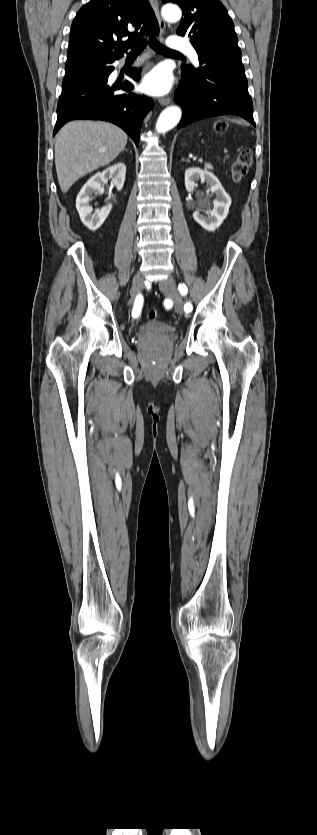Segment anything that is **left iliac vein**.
<instances>
[{
  "instance_id": "obj_1",
  "label": "left iliac vein",
  "mask_w": 317,
  "mask_h": 835,
  "mask_svg": "<svg viewBox=\"0 0 317 835\" xmlns=\"http://www.w3.org/2000/svg\"><path fill=\"white\" fill-rule=\"evenodd\" d=\"M159 287L163 293H165L173 300L176 312L178 314H183V301L177 290L174 278L172 276H169L168 278L159 283Z\"/></svg>"
}]
</instances>
